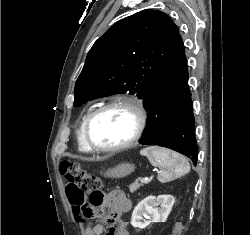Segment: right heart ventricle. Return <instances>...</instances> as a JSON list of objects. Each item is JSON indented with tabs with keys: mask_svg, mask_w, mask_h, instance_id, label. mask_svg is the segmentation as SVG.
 <instances>
[{
	"mask_svg": "<svg viewBox=\"0 0 250 235\" xmlns=\"http://www.w3.org/2000/svg\"><path fill=\"white\" fill-rule=\"evenodd\" d=\"M92 112V109H89L85 112V114L83 115L81 122L79 124V128H78V132H77V143H78V148L80 151L82 152H90V150L88 149V147L86 146L85 142H84V138H83V128H84V124L86 122V119L88 118L89 114Z\"/></svg>",
	"mask_w": 250,
	"mask_h": 235,
	"instance_id": "e07e8e85",
	"label": "right heart ventricle"
}]
</instances>
